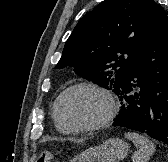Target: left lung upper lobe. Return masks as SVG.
<instances>
[{
  "label": "left lung upper lobe",
  "instance_id": "1",
  "mask_svg": "<svg viewBox=\"0 0 168 162\" xmlns=\"http://www.w3.org/2000/svg\"><path fill=\"white\" fill-rule=\"evenodd\" d=\"M166 19L154 0H105L78 22L55 68L73 67L77 75L116 93Z\"/></svg>",
  "mask_w": 168,
  "mask_h": 162
}]
</instances>
